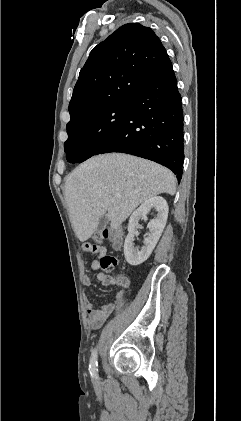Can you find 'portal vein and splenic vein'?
Segmentation results:
<instances>
[{
  "label": "portal vein and splenic vein",
  "mask_w": 241,
  "mask_h": 421,
  "mask_svg": "<svg viewBox=\"0 0 241 421\" xmlns=\"http://www.w3.org/2000/svg\"><path fill=\"white\" fill-rule=\"evenodd\" d=\"M114 197L115 198H118V197H120V194L119 193H114Z\"/></svg>",
  "instance_id": "portal-vein-and-splenic-vein-1"
}]
</instances>
